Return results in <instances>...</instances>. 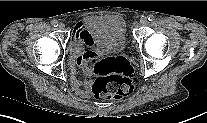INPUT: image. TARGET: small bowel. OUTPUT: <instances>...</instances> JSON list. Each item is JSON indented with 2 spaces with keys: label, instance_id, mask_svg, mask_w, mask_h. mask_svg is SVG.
Wrapping results in <instances>:
<instances>
[{
  "label": "small bowel",
  "instance_id": "small-bowel-1",
  "mask_svg": "<svg viewBox=\"0 0 207 123\" xmlns=\"http://www.w3.org/2000/svg\"><path fill=\"white\" fill-rule=\"evenodd\" d=\"M88 39V33L82 22H78L75 27V36L70 43L71 53V76L70 85L76 95L82 98L91 96L93 69L90 64L96 56L93 50L84 52L82 50L83 42ZM81 70L85 76L84 81L78 79V71Z\"/></svg>",
  "mask_w": 207,
  "mask_h": 123
}]
</instances>
